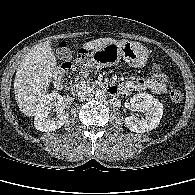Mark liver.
<instances>
[{
    "label": "liver",
    "mask_w": 195,
    "mask_h": 195,
    "mask_svg": "<svg viewBox=\"0 0 195 195\" xmlns=\"http://www.w3.org/2000/svg\"><path fill=\"white\" fill-rule=\"evenodd\" d=\"M114 41L117 40L99 38L85 43L83 48L96 50ZM56 64L49 41L35 45L20 62L14 79V93L19 109L26 116H35L40 99L47 93Z\"/></svg>",
    "instance_id": "obj_1"
}]
</instances>
